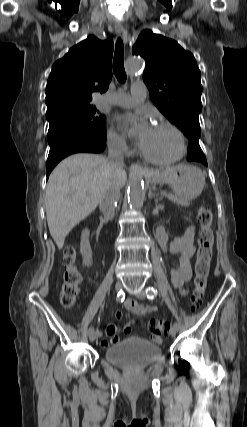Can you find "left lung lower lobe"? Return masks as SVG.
<instances>
[{
    "label": "left lung lower lobe",
    "mask_w": 247,
    "mask_h": 427,
    "mask_svg": "<svg viewBox=\"0 0 247 427\" xmlns=\"http://www.w3.org/2000/svg\"><path fill=\"white\" fill-rule=\"evenodd\" d=\"M187 160L201 162L204 165H207L205 155L199 146V142L190 141L189 148H188Z\"/></svg>",
    "instance_id": "obj_1"
}]
</instances>
